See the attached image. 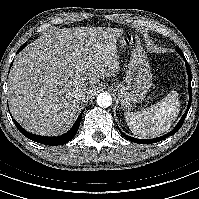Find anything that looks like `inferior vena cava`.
Masks as SVG:
<instances>
[{"mask_svg":"<svg viewBox=\"0 0 199 199\" xmlns=\"http://www.w3.org/2000/svg\"><path fill=\"white\" fill-rule=\"evenodd\" d=\"M73 97L77 100H81L84 97V91L82 89H76L73 92Z\"/></svg>","mask_w":199,"mask_h":199,"instance_id":"602c4592","label":"inferior vena cava"}]
</instances>
